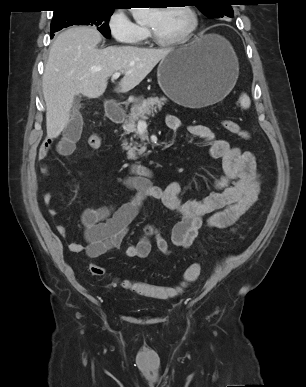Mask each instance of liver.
Segmentation results:
<instances>
[{
    "label": "liver",
    "instance_id": "liver-1",
    "mask_svg": "<svg viewBox=\"0 0 306 387\" xmlns=\"http://www.w3.org/2000/svg\"><path fill=\"white\" fill-rule=\"evenodd\" d=\"M101 34L91 27H72L50 47L43 74L47 137L57 138L70 121L76 95L98 98L115 72L124 73L116 91L127 93L141 83L174 49L109 46L98 49Z\"/></svg>",
    "mask_w": 306,
    "mask_h": 387
}]
</instances>
